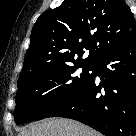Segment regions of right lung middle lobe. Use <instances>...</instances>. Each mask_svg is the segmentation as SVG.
<instances>
[{
  "mask_svg": "<svg viewBox=\"0 0 136 136\" xmlns=\"http://www.w3.org/2000/svg\"><path fill=\"white\" fill-rule=\"evenodd\" d=\"M82 68V71H78ZM93 63L58 65L28 75L18 82L16 124L47 118L73 99L91 80Z\"/></svg>",
  "mask_w": 136,
  "mask_h": 136,
  "instance_id": "dd1d6c3e",
  "label": "right lung middle lobe"
}]
</instances>
